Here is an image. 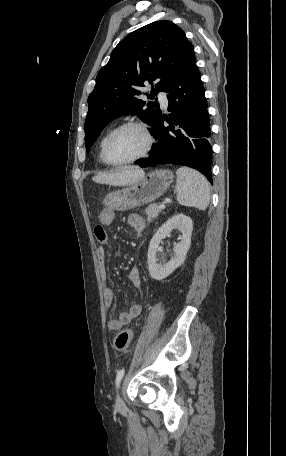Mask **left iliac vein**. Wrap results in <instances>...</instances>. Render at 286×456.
Returning a JSON list of instances; mask_svg holds the SVG:
<instances>
[{"mask_svg": "<svg viewBox=\"0 0 286 456\" xmlns=\"http://www.w3.org/2000/svg\"><path fill=\"white\" fill-rule=\"evenodd\" d=\"M116 406H117V408H119V409H122V408H124V406H125V405H124V402H123V400H122V398L120 397L119 394H117V396H116Z\"/></svg>", "mask_w": 286, "mask_h": 456, "instance_id": "obj_1", "label": "left iliac vein"}]
</instances>
